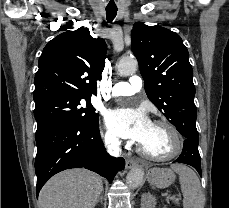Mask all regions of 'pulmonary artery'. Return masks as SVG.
Segmentation results:
<instances>
[{
    "label": "pulmonary artery",
    "instance_id": "obj_1",
    "mask_svg": "<svg viewBox=\"0 0 229 208\" xmlns=\"http://www.w3.org/2000/svg\"><path fill=\"white\" fill-rule=\"evenodd\" d=\"M143 86L142 78L138 75L129 77L126 81H120L112 88V96H130L141 90Z\"/></svg>",
    "mask_w": 229,
    "mask_h": 208
}]
</instances>
